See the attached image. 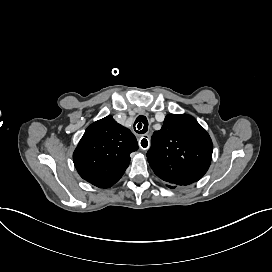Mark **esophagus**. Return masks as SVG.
Masks as SVG:
<instances>
[{
	"label": "esophagus",
	"mask_w": 272,
	"mask_h": 272,
	"mask_svg": "<svg viewBox=\"0 0 272 272\" xmlns=\"http://www.w3.org/2000/svg\"><path fill=\"white\" fill-rule=\"evenodd\" d=\"M139 147L141 148V150L143 151H147L150 147V139L149 137H141L139 139Z\"/></svg>",
	"instance_id": "obj_1"
}]
</instances>
